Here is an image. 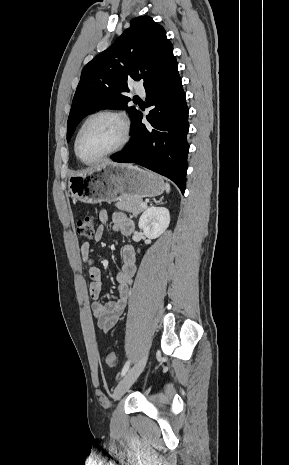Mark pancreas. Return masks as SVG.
I'll return each mask as SVG.
<instances>
[{
    "label": "pancreas",
    "mask_w": 289,
    "mask_h": 465,
    "mask_svg": "<svg viewBox=\"0 0 289 465\" xmlns=\"http://www.w3.org/2000/svg\"><path fill=\"white\" fill-rule=\"evenodd\" d=\"M142 203H143L142 199L126 197V198L120 199L115 204V206L119 210L131 212L133 213L134 216H137L139 213H141L144 210Z\"/></svg>",
    "instance_id": "1"
}]
</instances>
